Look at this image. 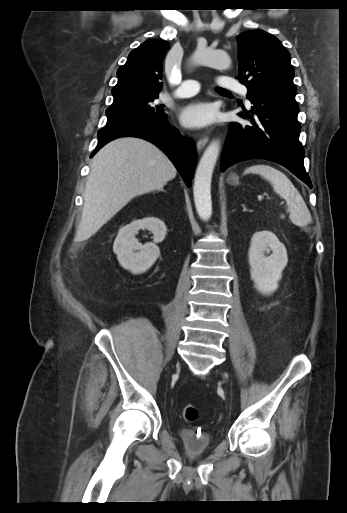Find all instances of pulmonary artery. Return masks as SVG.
I'll return each mask as SVG.
<instances>
[{
  "instance_id": "pulmonary-artery-1",
  "label": "pulmonary artery",
  "mask_w": 347,
  "mask_h": 513,
  "mask_svg": "<svg viewBox=\"0 0 347 513\" xmlns=\"http://www.w3.org/2000/svg\"><path fill=\"white\" fill-rule=\"evenodd\" d=\"M219 86L233 90L242 94L243 96H247V88L237 81L230 79L228 77H221L218 82ZM200 90V84L195 80H184L180 87L174 92V95L179 98L191 97L197 94ZM249 102V101H248Z\"/></svg>"
}]
</instances>
